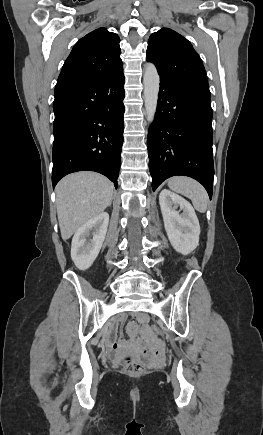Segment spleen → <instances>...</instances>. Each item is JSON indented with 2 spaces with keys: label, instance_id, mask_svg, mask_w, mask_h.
I'll use <instances>...</instances> for the list:
<instances>
[{
  "label": "spleen",
  "instance_id": "obj_1",
  "mask_svg": "<svg viewBox=\"0 0 263 435\" xmlns=\"http://www.w3.org/2000/svg\"><path fill=\"white\" fill-rule=\"evenodd\" d=\"M168 186L171 190L188 197L197 211L206 212L208 194L199 182L189 177L176 176L168 180Z\"/></svg>",
  "mask_w": 263,
  "mask_h": 435
}]
</instances>
